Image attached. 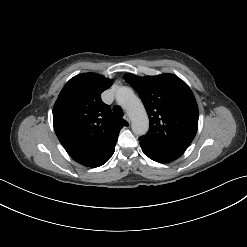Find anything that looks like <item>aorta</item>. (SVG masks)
Masks as SVG:
<instances>
[{"label":"aorta","mask_w":247,"mask_h":247,"mask_svg":"<svg viewBox=\"0 0 247 247\" xmlns=\"http://www.w3.org/2000/svg\"><path fill=\"white\" fill-rule=\"evenodd\" d=\"M117 102L125 109L131 119L132 131L144 135L149 128V120L141 100L129 87H122L116 93Z\"/></svg>","instance_id":"762f6f07"}]
</instances>
